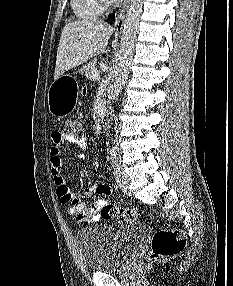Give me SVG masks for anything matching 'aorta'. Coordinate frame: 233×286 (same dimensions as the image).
<instances>
[{"mask_svg":"<svg viewBox=\"0 0 233 286\" xmlns=\"http://www.w3.org/2000/svg\"><path fill=\"white\" fill-rule=\"evenodd\" d=\"M143 0H130L126 18L123 24L121 50L117 59L114 81L113 100L117 101L125 84L131 58L134 51L140 16L142 12Z\"/></svg>","mask_w":233,"mask_h":286,"instance_id":"aorta-1","label":"aorta"}]
</instances>
